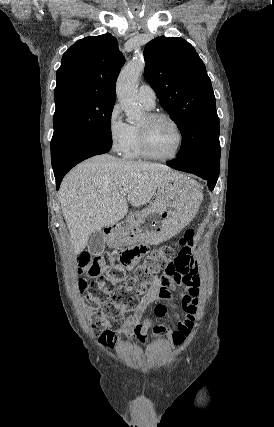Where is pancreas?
I'll return each mask as SVG.
<instances>
[{"label": "pancreas", "instance_id": "1", "mask_svg": "<svg viewBox=\"0 0 274 427\" xmlns=\"http://www.w3.org/2000/svg\"><path fill=\"white\" fill-rule=\"evenodd\" d=\"M136 215H139V214H136ZM133 217H134V215H128L126 221H129V223H130V221H134Z\"/></svg>", "mask_w": 274, "mask_h": 427}]
</instances>
